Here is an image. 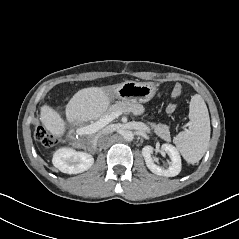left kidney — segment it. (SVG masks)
<instances>
[{"label":"left kidney","instance_id":"5707ae66","mask_svg":"<svg viewBox=\"0 0 239 239\" xmlns=\"http://www.w3.org/2000/svg\"><path fill=\"white\" fill-rule=\"evenodd\" d=\"M161 149L169 155L171 159V165H169L167 168L156 165L154 159L152 158L153 147L145 146L142 149V155L145 159L148 169L159 176L174 177L178 175L181 171V158L178 150L171 144H163Z\"/></svg>","mask_w":239,"mask_h":239}]
</instances>
